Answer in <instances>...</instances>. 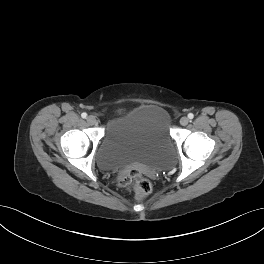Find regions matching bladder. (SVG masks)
<instances>
[{
    "label": "bladder",
    "mask_w": 264,
    "mask_h": 264,
    "mask_svg": "<svg viewBox=\"0 0 264 264\" xmlns=\"http://www.w3.org/2000/svg\"><path fill=\"white\" fill-rule=\"evenodd\" d=\"M173 156L166 111L140 106L109 127L96 158L102 171H114L133 165L161 169L172 162Z\"/></svg>",
    "instance_id": "bladder-1"
}]
</instances>
